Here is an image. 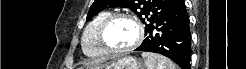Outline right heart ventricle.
I'll return each mask as SVG.
<instances>
[{"instance_id":"right-heart-ventricle-1","label":"right heart ventricle","mask_w":246,"mask_h":69,"mask_svg":"<svg viewBox=\"0 0 246 69\" xmlns=\"http://www.w3.org/2000/svg\"><path fill=\"white\" fill-rule=\"evenodd\" d=\"M111 14L110 11L104 10L97 13L87 24L83 32V51L90 57H99L105 54L104 49L98 41V29L102 21Z\"/></svg>"}]
</instances>
